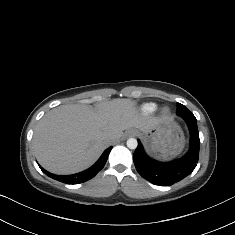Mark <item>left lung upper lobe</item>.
Returning a JSON list of instances; mask_svg holds the SVG:
<instances>
[{
  "label": "left lung upper lobe",
  "instance_id": "obj_1",
  "mask_svg": "<svg viewBox=\"0 0 235 235\" xmlns=\"http://www.w3.org/2000/svg\"><path fill=\"white\" fill-rule=\"evenodd\" d=\"M177 115L181 116V117H185V116H191L193 117V113L191 111H189L184 105L177 103V111H176Z\"/></svg>",
  "mask_w": 235,
  "mask_h": 235
}]
</instances>
